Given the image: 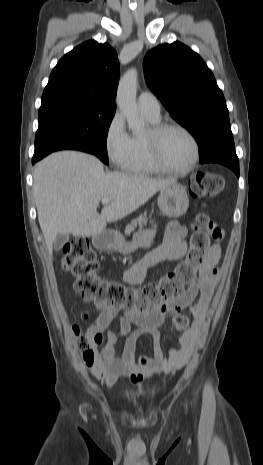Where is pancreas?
<instances>
[{
    "mask_svg": "<svg viewBox=\"0 0 263 465\" xmlns=\"http://www.w3.org/2000/svg\"><path fill=\"white\" fill-rule=\"evenodd\" d=\"M149 217L151 218V215ZM147 220L148 219L146 213L140 215L135 220H132L131 223L125 228V235H130V233L133 232L137 226L142 228L144 225L147 224Z\"/></svg>",
    "mask_w": 263,
    "mask_h": 465,
    "instance_id": "1",
    "label": "pancreas"
}]
</instances>
